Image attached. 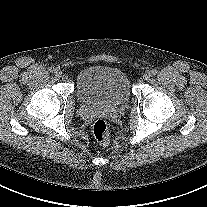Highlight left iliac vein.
Segmentation results:
<instances>
[{"label":"left iliac vein","instance_id":"4c4485c4","mask_svg":"<svg viewBox=\"0 0 207 207\" xmlns=\"http://www.w3.org/2000/svg\"><path fill=\"white\" fill-rule=\"evenodd\" d=\"M150 77H151V72H149V71L145 72L143 75L144 80H148Z\"/></svg>","mask_w":207,"mask_h":207}]
</instances>
